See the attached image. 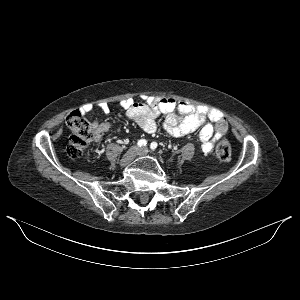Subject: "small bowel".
Returning <instances> with one entry per match:
<instances>
[{
  "label": "small bowel",
  "instance_id": "small-bowel-1",
  "mask_svg": "<svg viewBox=\"0 0 300 300\" xmlns=\"http://www.w3.org/2000/svg\"><path fill=\"white\" fill-rule=\"evenodd\" d=\"M119 105L125 109L127 118L146 133L157 131L156 119L160 115H164L161 124L163 130L172 137H181L198 131L201 149L205 153H210L216 141L227 131V125L223 131H219L208 121L221 117L217 110L204 105L179 101L171 97L147 96L141 102L129 98L120 101ZM98 107L105 114L110 112L108 103H100ZM92 109V104H85L82 107L84 113H89ZM92 126L95 141L101 140L110 128L108 122L98 120H93Z\"/></svg>",
  "mask_w": 300,
  "mask_h": 300
}]
</instances>
